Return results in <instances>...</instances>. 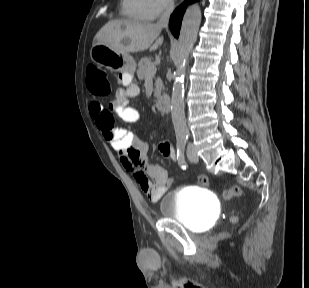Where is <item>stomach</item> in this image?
Returning a JSON list of instances; mask_svg holds the SVG:
<instances>
[{"label": "stomach", "mask_w": 309, "mask_h": 288, "mask_svg": "<svg viewBox=\"0 0 309 288\" xmlns=\"http://www.w3.org/2000/svg\"><path fill=\"white\" fill-rule=\"evenodd\" d=\"M90 58L94 63L111 71L134 74L136 69L135 60L131 55L117 52L105 44L93 45Z\"/></svg>", "instance_id": "obj_1"}]
</instances>
